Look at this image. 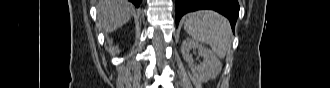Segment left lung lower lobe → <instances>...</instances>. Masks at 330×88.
Masks as SVG:
<instances>
[{"instance_id":"1","label":"left lung lower lobe","mask_w":330,"mask_h":88,"mask_svg":"<svg viewBox=\"0 0 330 88\" xmlns=\"http://www.w3.org/2000/svg\"><path fill=\"white\" fill-rule=\"evenodd\" d=\"M211 9L227 17L233 32L239 15L238 0H176V27L181 17L192 11Z\"/></svg>"}]
</instances>
